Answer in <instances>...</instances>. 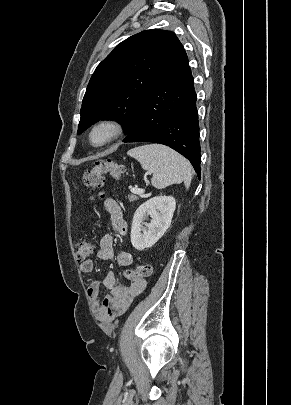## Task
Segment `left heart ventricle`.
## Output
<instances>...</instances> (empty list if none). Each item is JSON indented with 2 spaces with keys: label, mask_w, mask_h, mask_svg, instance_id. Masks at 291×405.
<instances>
[{
  "label": "left heart ventricle",
  "mask_w": 291,
  "mask_h": 405,
  "mask_svg": "<svg viewBox=\"0 0 291 405\" xmlns=\"http://www.w3.org/2000/svg\"><path fill=\"white\" fill-rule=\"evenodd\" d=\"M105 137V132L100 130L95 133L94 135V141L99 142Z\"/></svg>",
  "instance_id": "obj_1"
}]
</instances>
